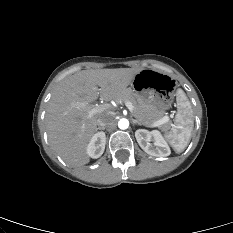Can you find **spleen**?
Returning a JSON list of instances; mask_svg holds the SVG:
<instances>
[{"instance_id": "3e777b00", "label": "spleen", "mask_w": 233, "mask_h": 233, "mask_svg": "<svg viewBox=\"0 0 233 233\" xmlns=\"http://www.w3.org/2000/svg\"><path fill=\"white\" fill-rule=\"evenodd\" d=\"M178 112L170 131L165 130V137L175 152L181 153L188 146L194 127L191 103L182 89L177 90Z\"/></svg>"}]
</instances>
